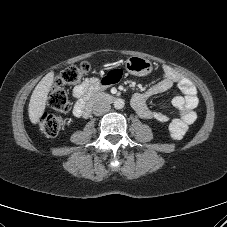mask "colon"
Wrapping results in <instances>:
<instances>
[{
    "label": "colon",
    "mask_w": 227,
    "mask_h": 227,
    "mask_svg": "<svg viewBox=\"0 0 227 227\" xmlns=\"http://www.w3.org/2000/svg\"><path fill=\"white\" fill-rule=\"evenodd\" d=\"M90 71L88 63L70 66L65 69L56 79L52 86L48 104L55 111L66 113L71 110V102L66 93V86H73L85 78ZM64 118L50 113H44L39 119V130L46 136H57L64 126Z\"/></svg>",
    "instance_id": "colon-1"
}]
</instances>
